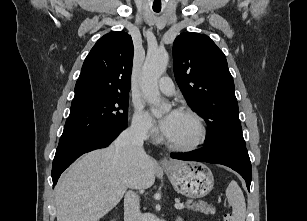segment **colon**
Instances as JSON below:
<instances>
[{
  "mask_svg": "<svg viewBox=\"0 0 307 221\" xmlns=\"http://www.w3.org/2000/svg\"><path fill=\"white\" fill-rule=\"evenodd\" d=\"M223 221H233V217L231 214H225L223 217Z\"/></svg>",
  "mask_w": 307,
  "mask_h": 221,
  "instance_id": "1",
  "label": "colon"
}]
</instances>
